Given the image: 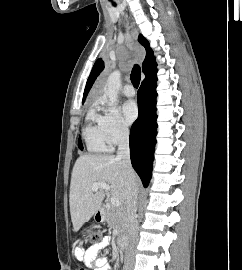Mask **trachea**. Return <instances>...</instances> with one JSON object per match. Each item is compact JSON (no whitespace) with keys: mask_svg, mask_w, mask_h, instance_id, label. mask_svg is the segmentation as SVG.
<instances>
[{"mask_svg":"<svg viewBox=\"0 0 242 270\" xmlns=\"http://www.w3.org/2000/svg\"><path fill=\"white\" fill-rule=\"evenodd\" d=\"M140 75H141V69L140 66L135 65L131 71V82L134 85L135 88H138L140 83Z\"/></svg>","mask_w":242,"mask_h":270,"instance_id":"trachea-1","label":"trachea"}]
</instances>
